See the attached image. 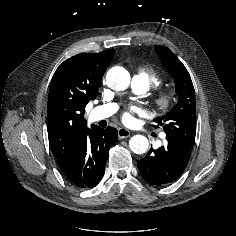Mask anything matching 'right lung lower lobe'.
Returning a JSON list of instances; mask_svg holds the SVG:
<instances>
[{
  "label": "right lung lower lobe",
  "instance_id": "right-lung-lower-lobe-1",
  "mask_svg": "<svg viewBox=\"0 0 236 236\" xmlns=\"http://www.w3.org/2000/svg\"><path fill=\"white\" fill-rule=\"evenodd\" d=\"M117 140L115 128L102 129L95 125L87 128L72 156L61 166L69 182L78 188L96 186L103 176L109 149Z\"/></svg>",
  "mask_w": 236,
  "mask_h": 236
}]
</instances>
